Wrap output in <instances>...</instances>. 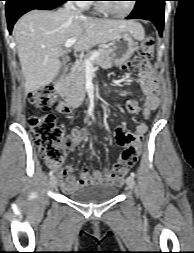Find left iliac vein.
Wrapping results in <instances>:
<instances>
[{
    "mask_svg": "<svg viewBox=\"0 0 194 253\" xmlns=\"http://www.w3.org/2000/svg\"><path fill=\"white\" fill-rule=\"evenodd\" d=\"M126 184L132 190L134 188V185H135L134 178L131 177V176L127 177Z\"/></svg>",
    "mask_w": 194,
    "mask_h": 253,
    "instance_id": "4c4485c4",
    "label": "left iliac vein"
}]
</instances>
